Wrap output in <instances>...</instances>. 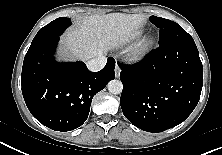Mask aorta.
Wrapping results in <instances>:
<instances>
[{"label":"aorta","mask_w":222,"mask_h":155,"mask_svg":"<svg viewBox=\"0 0 222 155\" xmlns=\"http://www.w3.org/2000/svg\"><path fill=\"white\" fill-rule=\"evenodd\" d=\"M107 87H108V91L112 94H115V95L120 94L123 90L122 82L120 80H116V79L111 80L108 83Z\"/></svg>","instance_id":"1"}]
</instances>
